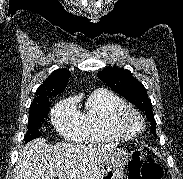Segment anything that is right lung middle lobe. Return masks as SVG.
<instances>
[{
	"instance_id": "1",
	"label": "right lung middle lobe",
	"mask_w": 183,
	"mask_h": 179,
	"mask_svg": "<svg viewBox=\"0 0 183 179\" xmlns=\"http://www.w3.org/2000/svg\"><path fill=\"white\" fill-rule=\"evenodd\" d=\"M49 106V100L41 105L30 106L28 131L24 138L25 143L39 137V128L44 123V118L49 112Z\"/></svg>"
}]
</instances>
